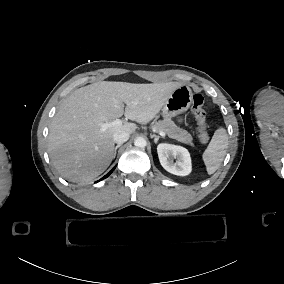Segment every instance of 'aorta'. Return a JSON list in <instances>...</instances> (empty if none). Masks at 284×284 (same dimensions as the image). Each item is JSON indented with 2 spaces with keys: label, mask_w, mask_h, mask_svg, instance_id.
<instances>
[{
  "label": "aorta",
  "mask_w": 284,
  "mask_h": 284,
  "mask_svg": "<svg viewBox=\"0 0 284 284\" xmlns=\"http://www.w3.org/2000/svg\"><path fill=\"white\" fill-rule=\"evenodd\" d=\"M134 145H135L136 147H139V148H144V147H146L147 142H146V140H145L143 137H137V138L134 140Z\"/></svg>",
  "instance_id": "1"
}]
</instances>
